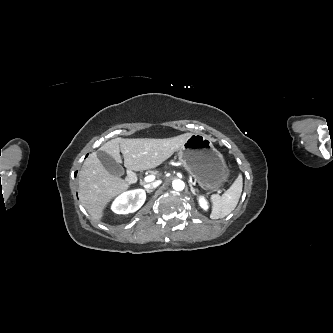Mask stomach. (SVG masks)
Listing matches in <instances>:
<instances>
[{
    "mask_svg": "<svg viewBox=\"0 0 333 333\" xmlns=\"http://www.w3.org/2000/svg\"><path fill=\"white\" fill-rule=\"evenodd\" d=\"M178 157L205 190L215 191L228 180L229 169L224 157L205 134H191L180 147Z\"/></svg>",
    "mask_w": 333,
    "mask_h": 333,
    "instance_id": "stomach-1",
    "label": "stomach"
}]
</instances>
